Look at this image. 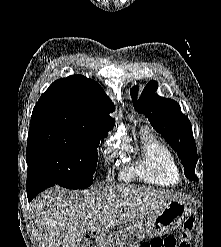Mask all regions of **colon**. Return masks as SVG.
Returning a JSON list of instances; mask_svg holds the SVG:
<instances>
[{
  "label": "colon",
  "mask_w": 221,
  "mask_h": 247,
  "mask_svg": "<svg viewBox=\"0 0 221 247\" xmlns=\"http://www.w3.org/2000/svg\"><path fill=\"white\" fill-rule=\"evenodd\" d=\"M195 220L187 218L182 225L178 239L171 237L153 238L144 243L140 247H191V236L194 230ZM79 247H93L91 240L88 238L80 244Z\"/></svg>",
  "instance_id": "1"
}]
</instances>
